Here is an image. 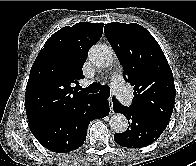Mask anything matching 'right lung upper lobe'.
Listing matches in <instances>:
<instances>
[{
    "instance_id": "obj_1",
    "label": "right lung upper lobe",
    "mask_w": 196,
    "mask_h": 166,
    "mask_svg": "<svg viewBox=\"0 0 196 166\" xmlns=\"http://www.w3.org/2000/svg\"><path fill=\"white\" fill-rule=\"evenodd\" d=\"M103 26L88 22L65 26L45 42L26 87L29 123L61 115L92 95L78 92L72 85L83 78L82 66L90 47L101 38Z\"/></svg>"
}]
</instances>
